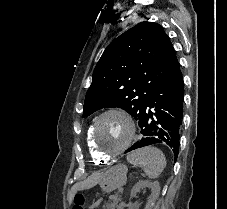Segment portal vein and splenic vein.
Instances as JSON below:
<instances>
[{
  "label": "portal vein and splenic vein",
  "instance_id": "obj_1",
  "mask_svg": "<svg viewBox=\"0 0 227 209\" xmlns=\"http://www.w3.org/2000/svg\"><path fill=\"white\" fill-rule=\"evenodd\" d=\"M121 192L123 193L124 191L122 190ZM117 197H118V196L115 195V194H112V195L110 194V195L108 196V198H109V199L112 198L114 202H117V201H118V198H117Z\"/></svg>",
  "mask_w": 227,
  "mask_h": 209
}]
</instances>
